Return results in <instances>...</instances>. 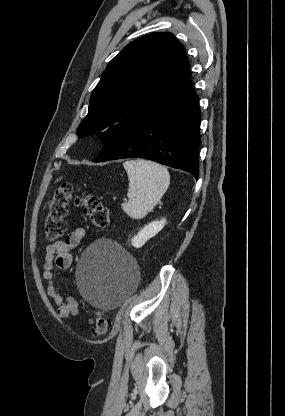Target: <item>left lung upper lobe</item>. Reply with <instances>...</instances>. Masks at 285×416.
<instances>
[{
	"mask_svg": "<svg viewBox=\"0 0 285 416\" xmlns=\"http://www.w3.org/2000/svg\"><path fill=\"white\" fill-rule=\"evenodd\" d=\"M189 70L184 47L171 33H152L131 42L108 64L93 90L78 137L98 133L108 143L185 89Z\"/></svg>",
	"mask_w": 285,
	"mask_h": 416,
	"instance_id": "obj_1",
	"label": "left lung upper lobe"
}]
</instances>
